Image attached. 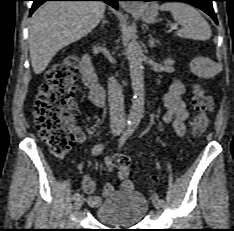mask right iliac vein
Segmentation results:
<instances>
[{
	"label": "right iliac vein",
	"instance_id": "63e3f726",
	"mask_svg": "<svg viewBox=\"0 0 234 231\" xmlns=\"http://www.w3.org/2000/svg\"><path fill=\"white\" fill-rule=\"evenodd\" d=\"M117 131H118L117 129H114L113 133H117ZM82 204H83V198L79 197L77 200H75L74 209L79 210L81 208Z\"/></svg>",
	"mask_w": 234,
	"mask_h": 231
}]
</instances>
